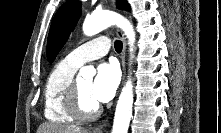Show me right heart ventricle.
I'll list each match as a JSON object with an SVG mask.
<instances>
[{"label": "right heart ventricle", "mask_w": 221, "mask_h": 133, "mask_svg": "<svg viewBox=\"0 0 221 133\" xmlns=\"http://www.w3.org/2000/svg\"><path fill=\"white\" fill-rule=\"evenodd\" d=\"M78 68L64 59L50 71L44 86V115L50 122L57 124L75 122V118L67 109L66 95Z\"/></svg>", "instance_id": "obj_1"}]
</instances>
